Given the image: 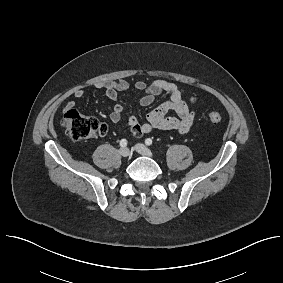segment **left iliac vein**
I'll return each mask as SVG.
<instances>
[{
  "label": "left iliac vein",
  "mask_w": 283,
  "mask_h": 283,
  "mask_svg": "<svg viewBox=\"0 0 283 283\" xmlns=\"http://www.w3.org/2000/svg\"><path fill=\"white\" fill-rule=\"evenodd\" d=\"M135 149L141 155L152 157V152L143 144H136Z\"/></svg>",
  "instance_id": "1"
}]
</instances>
